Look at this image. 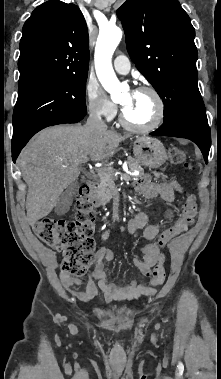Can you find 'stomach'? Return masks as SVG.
I'll return each instance as SVG.
<instances>
[{
  "label": "stomach",
  "mask_w": 221,
  "mask_h": 379,
  "mask_svg": "<svg viewBox=\"0 0 221 379\" xmlns=\"http://www.w3.org/2000/svg\"><path fill=\"white\" fill-rule=\"evenodd\" d=\"M134 155L145 166L158 168L167 160L164 145L156 138L147 136L137 137L133 147Z\"/></svg>",
  "instance_id": "1"
}]
</instances>
